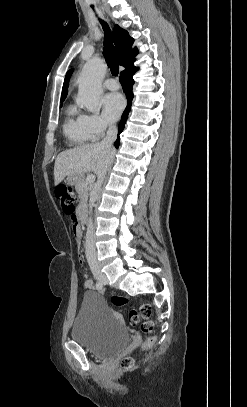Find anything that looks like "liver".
I'll use <instances>...</instances> for the list:
<instances>
[{"label": "liver", "mask_w": 247, "mask_h": 407, "mask_svg": "<svg viewBox=\"0 0 247 407\" xmlns=\"http://www.w3.org/2000/svg\"><path fill=\"white\" fill-rule=\"evenodd\" d=\"M113 157L112 149L102 147L100 143L83 145L61 152L54 165V182L58 185L66 176H82L93 171L97 176L107 170Z\"/></svg>", "instance_id": "obj_1"}]
</instances>
